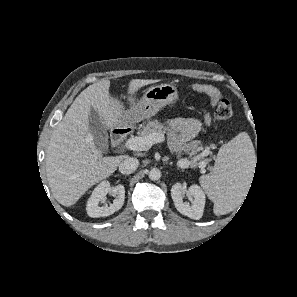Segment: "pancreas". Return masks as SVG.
<instances>
[{
	"instance_id": "1",
	"label": "pancreas",
	"mask_w": 297,
	"mask_h": 297,
	"mask_svg": "<svg viewBox=\"0 0 297 297\" xmlns=\"http://www.w3.org/2000/svg\"><path fill=\"white\" fill-rule=\"evenodd\" d=\"M166 128L163 126L162 123H160L158 120H153L148 122L145 126L142 127V129L140 130V135L141 136H146L149 135L151 133H158V134H163L165 133ZM190 144L185 145L184 148L182 150L188 151L190 149ZM200 150V149H198ZM190 156H192L194 154L193 152L189 153ZM191 167H194L197 165V162L192 160L190 163Z\"/></svg>"
}]
</instances>
